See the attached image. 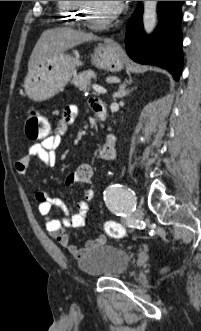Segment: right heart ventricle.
Segmentation results:
<instances>
[{"label": "right heart ventricle", "mask_w": 201, "mask_h": 331, "mask_svg": "<svg viewBox=\"0 0 201 331\" xmlns=\"http://www.w3.org/2000/svg\"><path fill=\"white\" fill-rule=\"evenodd\" d=\"M60 19L68 25H74L79 16L74 1H57Z\"/></svg>", "instance_id": "obj_1"}]
</instances>
